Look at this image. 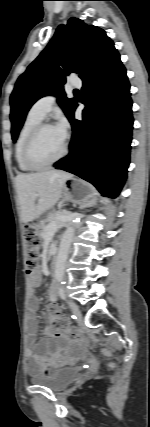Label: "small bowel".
<instances>
[{"mask_svg": "<svg viewBox=\"0 0 150 427\" xmlns=\"http://www.w3.org/2000/svg\"><path fill=\"white\" fill-rule=\"evenodd\" d=\"M41 281L42 270L36 268L29 274L30 285L32 288H36L40 286ZM56 292V283L53 282L49 289V297L52 301H56ZM38 308V300L31 296L29 315L25 325L27 341L25 350L26 369L30 375L47 374L82 352L81 344L66 336L57 341H53L50 338L37 340L38 320L36 313Z\"/></svg>", "mask_w": 150, "mask_h": 427, "instance_id": "1", "label": "small bowel"}]
</instances>
